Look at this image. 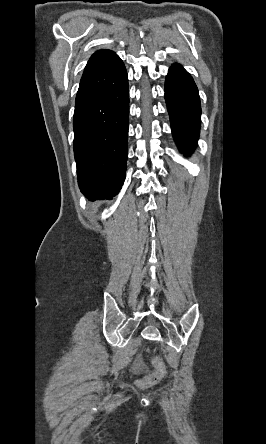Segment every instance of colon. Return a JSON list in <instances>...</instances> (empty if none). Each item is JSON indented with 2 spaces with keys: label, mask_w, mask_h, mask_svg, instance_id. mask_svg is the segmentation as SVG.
<instances>
[{
  "label": "colon",
  "mask_w": 266,
  "mask_h": 444,
  "mask_svg": "<svg viewBox=\"0 0 266 444\" xmlns=\"http://www.w3.org/2000/svg\"><path fill=\"white\" fill-rule=\"evenodd\" d=\"M153 371L138 381L141 387H149L159 383L166 375V365L161 357H152Z\"/></svg>",
  "instance_id": "1"
}]
</instances>
